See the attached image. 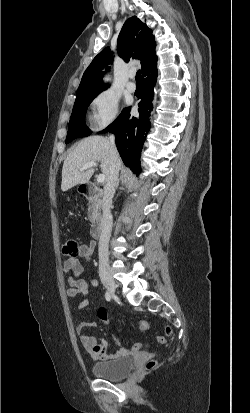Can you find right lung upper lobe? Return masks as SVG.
I'll list each match as a JSON object with an SVG mask.
<instances>
[{"label": "right lung upper lobe", "mask_w": 250, "mask_h": 413, "mask_svg": "<svg viewBox=\"0 0 250 413\" xmlns=\"http://www.w3.org/2000/svg\"><path fill=\"white\" fill-rule=\"evenodd\" d=\"M156 43L152 30L142 23L136 16L129 18L121 29L118 37L117 51L126 62L129 59L141 60L142 76L156 70L157 56ZM113 61V52L107 47L101 51L88 66L83 74L77 95L99 92L106 89L102 82L106 66ZM109 67H107V70Z\"/></svg>", "instance_id": "1"}]
</instances>
